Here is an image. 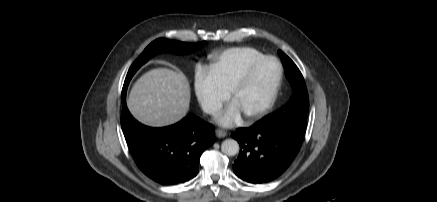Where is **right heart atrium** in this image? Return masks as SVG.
<instances>
[{
    "label": "right heart atrium",
    "instance_id": "right-heart-atrium-1",
    "mask_svg": "<svg viewBox=\"0 0 437 202\" xmlns=\"http://www.w3.org/2000/svg\"><path fill=\"white\" fill-rule=\"evenodd\" d=\"M193 87L198 103L208 115L218 113L230 95L211 68L203 65L195 69Z\"/></svg>",
    "mask_w": 437,
    "mask_h": 202
}]
</instances>
